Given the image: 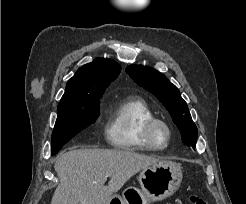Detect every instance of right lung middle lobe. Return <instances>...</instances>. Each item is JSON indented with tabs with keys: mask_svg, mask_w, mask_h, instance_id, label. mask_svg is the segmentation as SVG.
<instances>
[{
	"mask_svg": "<svg viewBox=\"0 0 246 204\" xmlns=\"http://www.w3.org/2000/svg\"><path fill=\"white\" fill-rule=\"evenodd\" d=\"M101 97V95L93 96L78 102L58 104V116L51 140L52 155L77 133L97 120Z\"/></svg>",
	"mask_w": 246,
	"mask_h": 204,
	"instance_id": "1",
	"label": "right lung middle lobe"
}]
</instances>
